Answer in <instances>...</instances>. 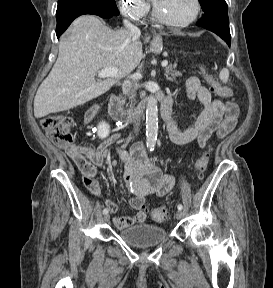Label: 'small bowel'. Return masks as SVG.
I'll return each instance as SVG.
<instances>
[{
  "label": "small bowel",
  "mask_w": 273,
  "mask_h": 288,
  "mask_svg": "<svg viewBox=\"0 0 273 288\" xmlns=\"http://www.w3.org/2000/svg\"><path fill=\"white\" fill-rule=\"evenodd\" d=\"M186 90L190 99L197 98L203 105V110L194 125L179 130L171 117L166 121L171 140L179 145L196 141L204 148L212 135L222 138L229 134L236 126L239 108L232 101L223 102L213 99L210 91L196 77H190L186 81ZM98 108H90L82 117L81 127L85 128L93 121ZM112 136L107 142L95 148L93 146L72 145L67 149L68 156L74 161L83 175V181L87 189L94 195H99L100 187L96 180V166L101 164L107 156ZM117 154L124 163V181L128 192L132 195L130 206L137 213L133 216L116 217L114 224L119 229L142 224L146 221L144 211L145 198L148 195L158 197L165 196L174 187L175 178L163 173L152 162L146 159V154L140 144L134 145L129 151L119 149ZM111 212L118 209V205L111 200L106 201Z\"/></svg>",
  "instance_id": "obj_1"
}]
</instances>
